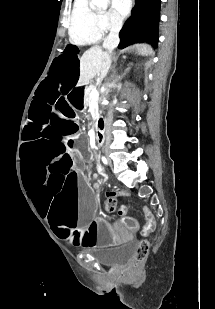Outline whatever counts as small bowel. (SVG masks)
I'll list each match as a JSON object with an SVG mask.
<instances>
[{
    "label": "small bowel",
    "mask_w": 215,
    "mask_h": 309,
    "mask_svg": "<svg viewBox=\"0 0 215 309\" xmlns=\"http://www.w3.org/2000/svg\"><path fill=\"white\" fill-rule=\"evenodd\" d=\"M122 215H125V214H122ZM146 217H147L148 224H147L145 230H146V231H150V230H152V228H153V221H154V218H153V216H152L151 214H149V213L146 215Z\"/></svg>",
    "instance_id": "small-bowel-1"
}]
</instances>
